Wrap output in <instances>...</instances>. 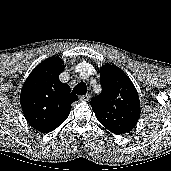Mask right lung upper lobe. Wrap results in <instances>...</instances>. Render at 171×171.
Listing matches in <instances>:
<instances>
[{"label":"right lung upper lobe","mask_w":171,"mask_h":171,"mask_svg":"<svg viewBox=\"0 0 171 171\" xmlns=\"http://www.w3.org/2000/svg\"><path fill=\"white\" fill-rule=\"evenodd\" d=\"M64 65L59 57L41 62L23 84L20 103L31 127L49 133L68 117L71 104L78 97L71 93L68 84L59 80Z\"/></svg>","instance_id":"obj_1"}]
</instances>
